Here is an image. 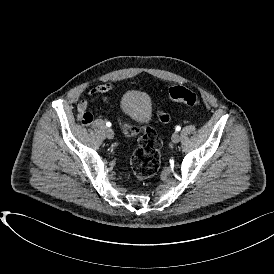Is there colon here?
Masks as SVG:
<instances>
[{"mask_svg": "<svg viewBox=\"0 0 274 274\" xmlns=\"http://www.w3.org/2000/svg\"><path fill=\"white\" fill-rule=\"evenodd\" d=\"M169 97L173 102L183 103L197 107L200 105L199 97L185 86H175L169 91ZM159 123L167 124L171 120L168 112H158ZM123 133L127 137H133L139 133L143 136L135 149L131 159V170L140 180L152 177L160 167L161 163V141L156 130L151 126H139L125 122L121 117L118 118Z\"/></svg>", "mask_w": 274, "mask_h": 274, "instance_id": "colon-1", "label": "colon"}]
</instances>
